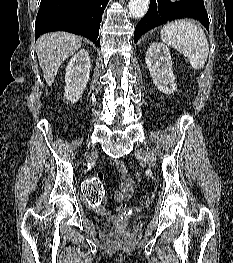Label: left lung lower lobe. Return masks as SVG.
<instances>
[{
	"instance_id": "obj_1",
	"label": "left lung lower lobe",
	"mask_w": 233,
	"mask_h": 263,
	"mask_svg": "<svg viewBox=\"0 0 233 263\" xmlns=\"http://www.w3.org/2000/svg\"><path fill=\"white\" fill-rule=\"evenodd\" d=\"M180 18L197 19L209 30L203 0H150L148 12L135 28L134 42L150 29Z\"/></svg>"
}]
</instances>
